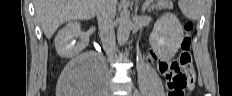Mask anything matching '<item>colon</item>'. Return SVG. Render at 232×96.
<instances>
[{
  "mask_svg": "<svg viewBox=\"0 0 232 96\" xmlns=\"http://www.w3.org/2000/svg\"><path fill=\"white\" fill-rule=\"evenodd\" d=\"M192 22L185 23L186 35L181 42V50L178 57L163 63H171V68H162V73L167 79L168 96H183L185 88L189 86L190 80L184 70L191 66V37Z\"/></svg>",
  "mask_w": 232,
  "mask_h": 96,
  "instance_id": "1",
  "label": "colon"
}]
</instances>
